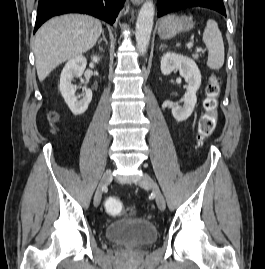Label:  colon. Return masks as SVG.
I'll return each mask as SVG.
<instances>
[{
	"mask_svg": "<svg viewBox=\"0 0 265 269\" xmlns=\"http://www.w3.org/2000/svg\"><path fill=\"white\" fill-rule=\"evenodd\" d=\"M221 92L220 81L212 75L206 87V97L203 101L204 114L199 122L198 141L205 142L214 132L217 125L218 99ZM58 118L57 113L49 114V120L54 123ZM105 210L110 215H118L123 210V204L116 197H108L105 201ZM128 213H130L128 211Z\"/></svg>",
	"mask_w": 265,
	"mask_h": 269,
	"instance_id": "obj_1",
	"label": "colon"
}]
</instances>
